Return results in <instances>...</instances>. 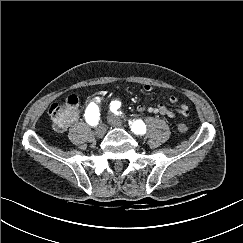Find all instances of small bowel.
Instances as JSON below:
<instances>
[{
    "instance_id": "1",
    "label": "small bowel",
    "mask_w": 243,
    "mask_h": 243,
    "mask_svg": "<svg viewBox=\"0 0 243 243\" xmlns=\"http://www.w3.org/2000/svg\"><path fill=\"white\" fill-rule=\"evenodd\" d=\"M143 89L146 92H150L152 90V86L149 85V84H145L143 86ZM168 101L170 102V104L174 105L178 102V98L175 95H170L168 97ZM137 111L139 113H150V114H155V115L160 114V115L167 116L170 119L176 118L177 113H179L183 116L189 115V108L185 104L178 106L176 109L168 108L167 106H165L161 103H158L156 106H152V107H146L144 105H138Z\"/></svg>"
}]
</instances>
